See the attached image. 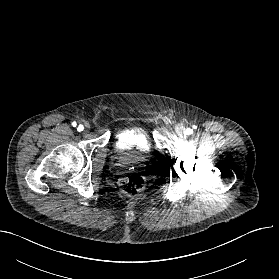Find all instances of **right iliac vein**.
I'll use <instances>...</instances> for the list:
<instances>
[{"label": "right iliac vein", "mask_w": 279, "mask_h": 279, "mask_svg": "<svg viewBox=\"0 0 279 279\" xmlns=\"http://www.w3.org/2000/svg\"><path fill=\"white\" fill-rule=\"evenodd\" d=\"M85 127H86V129H88L89 128V124H85Z\"/></svg>", "instance_id": "63e3f726"}]
</instances>
